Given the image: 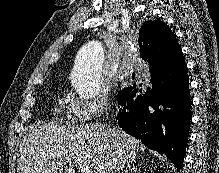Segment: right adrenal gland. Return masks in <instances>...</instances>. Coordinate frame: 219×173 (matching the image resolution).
I'll return each mask as SVG.
<instances>
[{
  "instance_id": "obj_1",
  "label": "right adrenal gland",
  "mask_w": 219,
  "mask_h": 173,
  "mask_svg": "<svg viewBox=\"0 0 219 173\" xmlns=\"http://www.w3.org/2000/svg\"><path fill=\"white\" fill-rule=\"evenodd\" d=\"M129 171H133L136 172L137 168L134 166V162H131L130 164H128L125 169H124V173H128Z\"/></svg>"
}]
</instances>
